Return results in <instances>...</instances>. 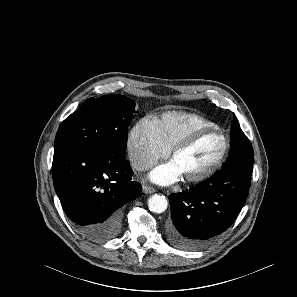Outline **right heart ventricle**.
<instances>
[{
    "mask_svg": "<svg viewBox=\"0 0 297 297\" xmlns=\"http://www.w3.org/2000/svg\"><path fill=\"white\" fill-rule=\"evenodd\" d=\"M153 126L160 143L170 150L191 131L201 127H213L216 124L194 113L169 111L155 118Z\"/></svg>",
    "mask_w": 297,
    "mask_h": 297,
    "instance_id": "1",
    "label": "right heart ventricle"
}]
</instances>
